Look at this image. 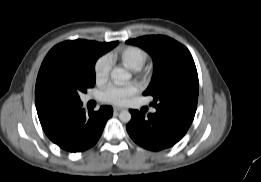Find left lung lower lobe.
I'll return each mask as SVG.
<instances>
[{
  "label": "left lung lower lobe",
  "instance_id": "obj_1",
  "mask_svg": "<svg viewBox=\"0 0 261 182\" xmlns=\"http://www.w3.org/2000/svg\"><path fill=\"white\" fill-rule=\"evenodd\" d=\"M131 121L126 129L135 143L152 151L176 144L187 132L194 112L186 110H156L146 117L141 111L130 110Z\"/></svg>",
  "mask_w": 261,
  "mask_h": 182
}]
</instances>
